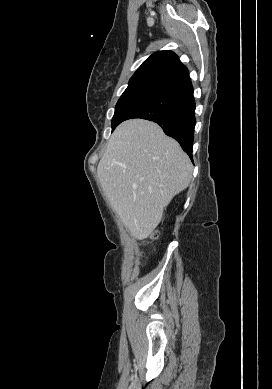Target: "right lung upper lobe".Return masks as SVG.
I'll list each match as a JSON object with an SVG mask.
<instances>
[{
	"instance_id": "1",
	"label": "right lung upper lobe",
	"mask_w": 272,
	"mask_h": 389,
	"mask_svg": "<svg viewBox=\"0 0 272 389\" xmlns=\"http://www.w3.org/2000/svg\"><path fill=\"white\" fill-rule=\"evenodd\" d=\"M187 75V68L174 52L158 51L142 63L129 84L148 82L165 86Z\"/></svg>"
}]
</instances>
